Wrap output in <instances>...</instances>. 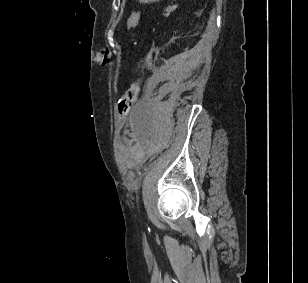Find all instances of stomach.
<instances>
[{"instance_id": "obj_1", "label": "stomach", "mask_w": 308, "mask_h": 283, "mask_svg": "<svg viewBox=\"0 0 308 283\" xmlns=\"http://www.w3.org/2000/svg\"><path fill=\"white\" fill-rule=\"evenodd\" d=\"M142 3H149V2H155V1H159V0H139Z\"/></svg>"}]
</instances>
